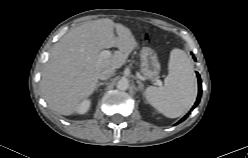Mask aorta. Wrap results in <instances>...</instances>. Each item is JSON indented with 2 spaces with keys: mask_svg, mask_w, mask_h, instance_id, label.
I'll return each instance as SVG.
<instances>
[{
  "mask_svg": "<svg viewBox=\"0 0 248 158\" xmlns=\"http://www.w3.org/2000/svg\"><path fill=\"white\" fill-rule=\"evenodd\" d=\"M129 87V82L127 79H120L118 82H117V88L119 90H126L128 89Z\"/></svg>",
  "mask_w": 248,
  "mask_h": 158,
  "instance_id": "1",
  "label": "aorta"
}]
</instances>
